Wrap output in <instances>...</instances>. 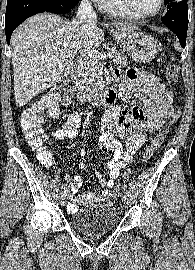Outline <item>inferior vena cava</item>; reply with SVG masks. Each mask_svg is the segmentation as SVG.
Returning a JSON list of instances; mask_svg holds the SVG:
<instances>
[{"label": "inferior vena cava", "instance_id": "inferior-vena-cava-1", "mask_svg": "<svg viewBox=\"0 0 195 270\" xmlns=\"http://www.w3.org/2000/svg\"><path fill=\"white\" fill-rule=\"evenodd\" d=\"M96 13L89 0H82L77 14L76 20L80 23L83 29L96 22Z\"/></svg>", "mask_w": 195, "mask_h": 270}]
</instances>
